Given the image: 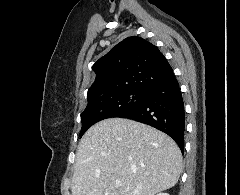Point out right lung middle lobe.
Instances as JSON below:
<instances>
[{"mask_svg":"<svg viewBox=\"0 0 240 195\" xmlns=\"http://www.w3.org/2000/svg\"><path fill=\"white\" fill-rule=\"evenodd\" d=\"M145 91L122 90L103 97L88 99V105L81 114L80 137L96 122L119 117L137 107L146 96Z\"/></svg>","mask_w":240,"mask_h":195,"instance_id":"1","label":"right lung middle lobe"}]
</instances>
